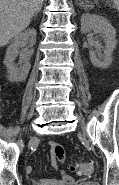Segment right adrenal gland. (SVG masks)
<instances>
[{"instance_id": "2a0ac1e0", "label": "right adrenal gland", "mask_w": 119, "mask_h": 185, "mask_svg": "<svg viewBox=\"0 0 119 185\" xmlns=\"http://www.w3.org/2000/svg\"><path fill=\"white\" fill-rule=\"evenodd\" d=\"M37 16V13L34 15V17H36Z\"/></svg>"}]
</instances>
